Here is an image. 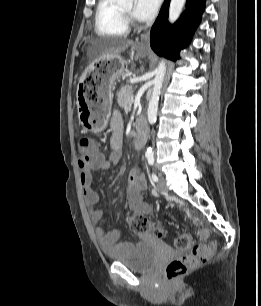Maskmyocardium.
<instances>
[{
	"instance_id": "1",
	"label": "myocardium",
	"mask_w": 261,
	"mask_h": 306,
	"mask_svg": "<svg viewBox=\"0 0 261 306\" xmlns=\"http://www.w3.org/2000/svg\"><path fill=\"white\" fill-rule=\"evenodd\" d=\"M121 11H122V14L124 16V18L126 19L127 23L130 22V23H135L132 15L128 12H126L123 8H121Z\"/></svg>"
}]
</instances>
